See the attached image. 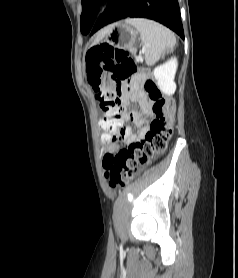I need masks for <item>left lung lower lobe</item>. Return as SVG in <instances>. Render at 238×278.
Listing matches in <instances>:
<instances>
[{
    "instance_id": "0a47b994",
    "label": "left lung lower lobe",
    "mask_w": 238,
    "mask_h": 278,
    "mask_svg": "<svg viewBox=\"0 0 238 278\" xmlns=\"http://www.w3.org/2000/svg\"><path fill=\"white\" fill-rule=\"evenodd\" d=\"M128 17L155 20L184 39L178 0H111L108 10L94 23L91 34L107 24Z\"/></svg>"
}]
</instances>
